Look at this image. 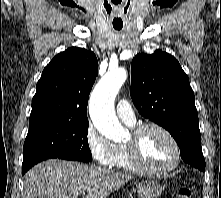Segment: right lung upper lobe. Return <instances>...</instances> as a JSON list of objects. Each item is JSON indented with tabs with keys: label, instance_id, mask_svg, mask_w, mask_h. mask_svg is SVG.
Returning <instances> with one entry per match:
<instances>
[{
	"label": "right lung upper lobe",
	"instance_id": "1",
	"mask_svg": "<svg viewBox=\"0 0 221 198\" xmlns=\"http://www.w3.org/2000/svg\"><path fill=\"white\" fill-rule=\"evenodd\" d=\"M98 75L95 54L71 47L44 68L32 100L30 122L88 120V97Z\"/></svg>",
	"mask_w": 221,
	"mask_h": 198
}]
</instances>
